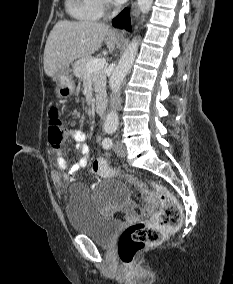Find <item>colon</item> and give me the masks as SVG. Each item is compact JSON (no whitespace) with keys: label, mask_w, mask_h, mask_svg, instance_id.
<instances>
[{"label":"colon","mask_w":233,"mask_h":284,"mask_svg":"<svg viewBox=\"0 0 233 284\" xmlns=\"http://www.w3.org/2000/svg\"><path fill=\"white\" fill-rule=\"evenodd\" d=\"M48 142L54 148H59L66 139V128L60 117L57 106L49 110L47 124ZM91 170L104 178H112L121 175L119 171L110 167L102 158L95 159ZM125 178L136 187L140 195L148 205H152L155 199L160 202V210L150 223L138 222L127 227L120 235L118 241V254L121 262L132 268L137 255L149 245L160 243L165 234L178 228L181 221V207L174 195L163 185L152 182L154 189L150 193L137 178L132 175H124Z\"/></svg>","instance_id":"1"}]
</instances>
